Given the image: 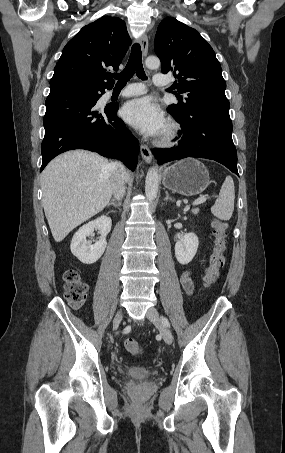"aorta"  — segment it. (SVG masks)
I'll return each instance as SVG.
<instances>
[{
  "mask_svg": "<svg viewBox=\"0 0 285 453\" xmlns=\"http://www.w3.org/2000/svg\"><path fill=\"white\" fill-rule=\"evenodd\" d=\"M145 65L149 69H157L160 67V60L157 57H148ZM159 184V176L154 167L150 168L147 172L145 181V194L149 201H153L157 197Z\"/></svg>",
  "mask_w": 285,
  "mask_h": 453,
  "instance_id": "aorta-1",
  "label": "aorta"
}]
</instances>
